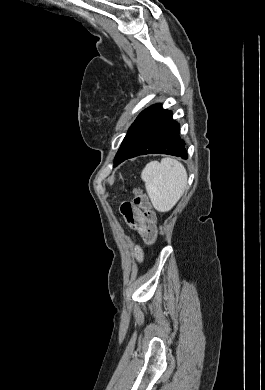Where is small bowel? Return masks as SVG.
I'll use <instances>...</instances> for the list:
<instances>
[{
    "instance_id": "small-bowel-1",
    "label": "small bowel",
    "mask_w": 265,
    "mask_h": 390,
    "mask_svg": "<svg viewBox=\"0 0 265 390\" xmlns=\"http://www.w3.org/2000/svg\"><path fill=\"white\" fill-rule=\"evenodd\" d=\"M121 213L130 227L137 230L145 240L148 239L152 227L146 223L144 214L139 208L130 202H124L121 205ZM137 256L139 260L142 259L140 251H138Z\"/></svg>"
}]
</instances>
